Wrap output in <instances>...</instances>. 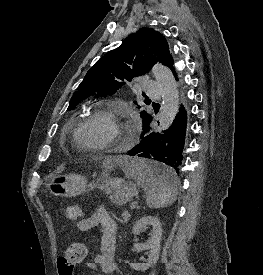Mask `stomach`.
<instances>
[{
  "instance_id": "0dacf381",
  "label": "stomach",
  "mask_w": 263,
  "mask_h": 275,
  "mask_svg": "<svg viewBox=\"0 0 263 275\" xmlns=\"http://www.w3.org/2000/svg\"><path fill=\"white\" fill-rule=\"evenodd\" d=\"M108 171L109 166H106L103 173L104 184L101 187L110 196L114 204H125L137 196L138 191L134 185L126 183L121 178L110 177ZM87 186V179L78 174L51 176L46 183V188L50 194L61 197L80 195L86 191Z\"/></svg>"
}]
</instances>
